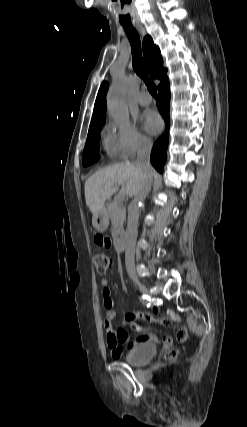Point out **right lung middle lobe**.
Listing matches in <instances>:
<instances>
[{"instance_id":"obj_1","label":"right lung middle lobe","mask_w":247,"mask_h":427,"mask_svg":"<svg viewBox=\"0 0 247 427\" xmlns=\"http://www.w3.org/2000/svg\"><path fill=\"white\" fill-rule=\"evenodd\" d=\"M104 124L89 129L83 152V166H88L99 159L100 131Z\"/></svg>"}]
</instances>
